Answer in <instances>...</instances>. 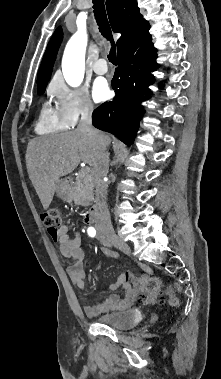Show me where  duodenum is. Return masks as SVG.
Here are the masks:
<instances>
[{"instance_id": "duodenum-1", "label": "duodenum", "mask_w": 221, "mask_h": 379, "mask_svg": "<svg viewBox=\"0 0 221 379\" xmlns=\"http://www.w3.org/2000/svg\"><path fill=\"white\" fill-rule=\"evenodd\" d=\"M100 215V205L98 203L93 204L85 213L84 220L86 223H95Z\"/></svg>"}]
</instances>
